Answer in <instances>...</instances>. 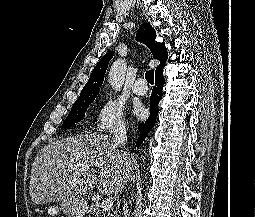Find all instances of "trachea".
<instances>
[{
    "instance_id": "trachea-1",
    "label": "trachea",
    "mask_w": 255,
    "mask_h": 217,
    "mask_svg": "<svg viewBox=\"0 0 255 217\" xmlns=\"http://www.w3.org/2000/svg\"><path fill=\"white\" fill-rule=\"evenodd\" d=\"M145 78L148 83L154 84V70L150 69L145 73Z\"/></svg>"
}]
</instances>
